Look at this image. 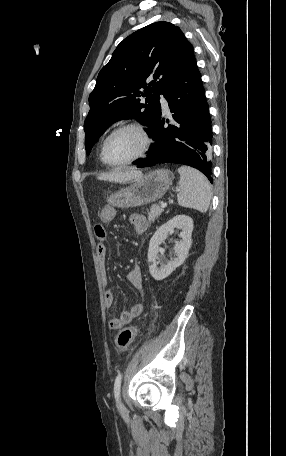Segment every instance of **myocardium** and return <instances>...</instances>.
I'll list each match as a JSON object with an SVG mask.
<instances>
[{"instance_id":"obj_1","label":"myocardium","mask_w":286,"mask_h":456,"mask_svg":"<svg viewBox=\"0 0 286 456\" xmlns=\"http://www.w3.org/2000/svg\"><path fill=\"white\" fill-rule=\"evenodd\" d=\"M125 129H135L137 130L143 137L144 139V145H143V148L142 150L140 151L139 154H137L136 156L124 161V162H121V163H111L107 157H106V148H107V144L109 142V140L116 134L118 133L119 131H122V130H125ZM152 142H153V139H152V136L149 132V130L147 129V127L139 122H126V123H123L121 125H119L118 127L114 128L104 139L103 143H102V147H101V152H100V157H101V160L103 161V163L111 168H121V167H124V166H127V165H130L140 159H142L143 157H145L147 155V153L149 152L151 146H152Z\"/></svg>"}]
</instances>
